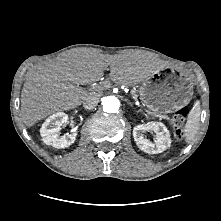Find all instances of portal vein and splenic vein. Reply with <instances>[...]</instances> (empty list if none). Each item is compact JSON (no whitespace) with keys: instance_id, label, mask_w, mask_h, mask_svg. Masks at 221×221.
I'll return each mask as SVG.
<instances>
[{"instance_id":"1","label":"portal vein and splenic vein","mask_w":221,"mask_h":221,"mask_svg":"<svg viewBox=\"0 0 221 221\" xmlns=\"http://www.w3.org/2000/svg\"><path fill=\"white\" fill-rule=\"evenodd\" d=\"M108 87V84L106 83H100L96 86H93L92 89H98V90H104ZM145 112L148 114V115H151V112H149L148 110H145Z\"/></svg>"}]
</instances>
